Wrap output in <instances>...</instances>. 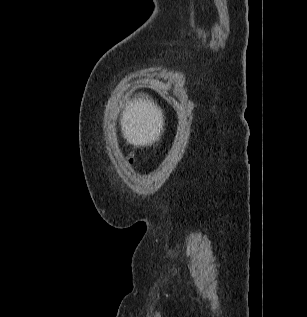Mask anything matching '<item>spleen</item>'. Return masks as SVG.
<instances>
[{
  "instance_id": "1",
  "label": "spleen",
  "mask_w": 307,
  "mask_h": 317,
  "mask_svg": "<svg viewBox=\"0 0 307 317\" xmlns=\"http://www.w3.org/2000/svg\"><path fill=\"white\" fill-rule=\"evenodd\" d=\"M153 100H143L142 97H133L131 106L123 114L122 124L125 137L129 141L139 139H163V132H143L144 129H169V122H158ZM147 150L152 148L150 143L145 145ZM143 155V148H140Z\"/></svg>"
}]
</instances>
